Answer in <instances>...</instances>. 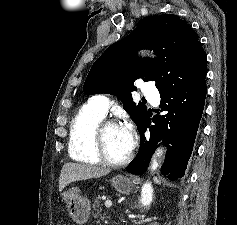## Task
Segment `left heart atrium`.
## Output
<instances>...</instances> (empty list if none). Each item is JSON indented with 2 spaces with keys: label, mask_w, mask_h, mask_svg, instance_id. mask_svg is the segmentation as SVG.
<instances>
[{
  "label": "left heart atrium",
  "mask_w": 237,
  "mask_h": 225,
  "mask_svg": "<svg viewBox=\"0 0 237 225\" xmlns=\"http://www.w3.org/2000/svg\"><path fill=\"white\" fill-rule=\"evenodd\" d=\"M121 129L124 133L126 144H127V150L130 153L134 146V130L130 124H125L121 126Z\"/></svg>",
  "instance_id": "1"
}]
</instances>
